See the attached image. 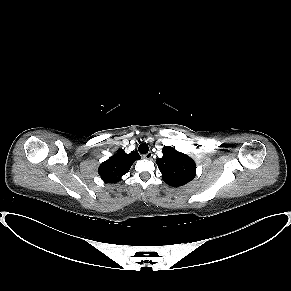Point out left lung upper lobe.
<instances>
[{
  "label": "left lung upper lobe",
  "mask_w": 291,
  "mask_h": 291,
  "mask_svg": "<svg viewBox=\"0 0 291 291\" xmlns=\"http://www.w3.org/2000/svg\"><path fill=\"white\" fill-rule=\"evenodd\" d=\"M162 153V158H158L156 163L165 183L179 187L194 179L196 164L193 159L171 146H164Z\"/></svg>",
  "instance_id": "1"
}]
</instances>
